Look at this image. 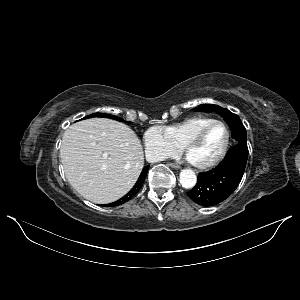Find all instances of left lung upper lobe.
<instances>
[{"mask_svg": "<svg viewBox=\"0 0 300 300\" xmlns=\"http://www.w3.org/2000/svg\"><path fill=\"white\" fill-rule=\"evenodd\" d=\"M195 111H203V112L216 111L219 115H221L224 118V120L231 128L232 137L235 139V144L246 145L247 143L246 129L243 126L240 118L236 114L230 112L228 109L213 104L199 105L197 108H195Z\"/></svg>", "mask_w": 300, "mask_h": 300, "instance_id": "1", "label": "left lung upper lobe"}]
</instances>
